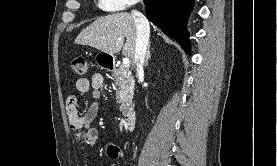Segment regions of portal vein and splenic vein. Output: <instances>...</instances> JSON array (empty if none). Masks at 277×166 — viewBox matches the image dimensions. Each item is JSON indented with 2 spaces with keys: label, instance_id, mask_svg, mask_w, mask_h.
<instances>
[{
  "label": "portal vein and splenic vein",
  "instance_id": "portal-vein-and-splenic-vein-1",
  "mask_svg": "<svg viewBox=\"0 0 277 166\" xmlns=\"http://www.w3.org/2000/svg\"><path fill=\"white\" fill-rule=\"evenodd\" d=\"M123 65L125 67H129L130 66V60H129V58L126 57V58L123 59Z\"/></svg>",
  "mask_w": 277,
  "mask_h": 166
}]
</instances>
